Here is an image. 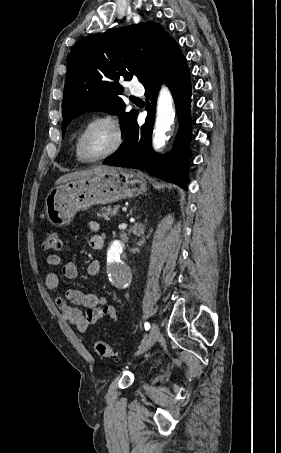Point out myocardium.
I'll list each match as a JSON object with an SVG mask.
<instances>
[{"label":"myocardium","instance_id":"f54148a6","mask_svg":"<svg viewBox=\"0 0 281 453\" xmlns=\"http://www.w3.org/2000/svg\"><path fill=\"white\" fill-rule=\"evenodd\" d=\"M97 126L107 127L112 133L113 141L100 152L85 157L82 154L83 140L85 136L88 134V132ZM123 141H124L123 132L120 126L112 118L107 116L95 117L87 121L79 130L74 141V155L76 159L82 163H92L100 161L115 154L121 147Z\"/></svg>","mask_w":281,"mask_h":453}]
</instances>
